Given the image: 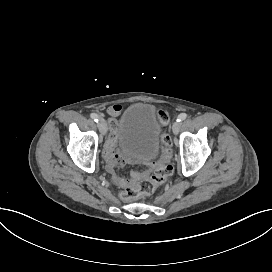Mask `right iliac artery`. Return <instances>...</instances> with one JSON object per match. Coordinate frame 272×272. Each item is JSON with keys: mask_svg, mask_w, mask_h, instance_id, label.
Returning <instances> with one entry per match:
<instances>
[{"mask_svg": "<svg viewBox=\"0 0 272 272\" xmlns=\"http://www.w3.org/2000/svg\"><path fill=\"white\" fill-rule=\"evenodd\" d=\"M90 117H91L95 122H98V120H99L98 115L95 114V113H91V114H90Z\"/></svg>", "mask_w": 272, "mask_h": 272, "instance_id": "1", "label": "right iliac artery"}]
</instances>
